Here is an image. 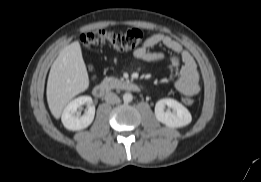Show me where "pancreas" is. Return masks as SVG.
<instances>
[{
  "mask_svg": "<svg viewBox=\"0 0 261 182\" xmlns=\"http://www.w3.org/2000/svg\"><path fill=\"white\" fill-rule=\"evenodd\" d=\"M123 84V80H119L114 77H105L102 81V85L108 89L120 88L123 86Z\"/></svg>",
  "mask_w": 261,
  "mask_h": 182,
  "instance_id": "1",
  "label": "pancreas"
}]
</instances>
